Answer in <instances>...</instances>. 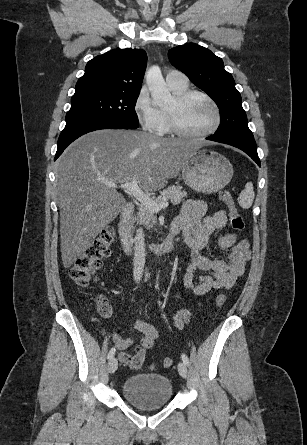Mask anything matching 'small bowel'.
<instances>
[{"label":"small bowel","instance_id":"small-bowel-1","mask_svg":"<svg viewBox=\"0 0 307 445\" xmlns=\"http://www.w3.org/2000/svg\"><path fill=\"white\" fill-rule=\"evenodd\" d=\"M227 223V212L218 210L208 213L206 204L200 200H186L181 213L174 219L171 228L182 233L185 244L191 249L192 259L188 265L183 286L186 291L203 296L207 293L231 288L244 272L250 260V244L247 239H240L236 233L216 236ZM216 249L222 256L209 258L204 252ZM197 271L204 273L197 274ZM190 311L182 308L172 316L174 327L181 328L188 322ZM136 329L142 334L138 344L131 338L117 341L119 360L133 369H140L147 351L152 349L158 337L157 329L138 319ZM133 347L131 350H129Z\"/></svg>","mask_w":307,"mask_h":445}]
</instances>
